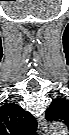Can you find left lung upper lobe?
I'll use <instances>...</instances> for the list:
<instances>
[{
    "mask_svg": "<svg viewBox=\"0 0 69 135\" xmlns=\"http://www.w3.org/2000/svg\"><path fill=\"white\" fill-rule=\"evenodd\" d=\"M45 117L48 121H63L69 120V101L65 99H56L47 109Z\"/></svg>",
    "mask_w": 69,
    "mask_h": 135,
    "instance_id": "obj_1",
    "label": "left lung upper lobe"
}]
</instances>
